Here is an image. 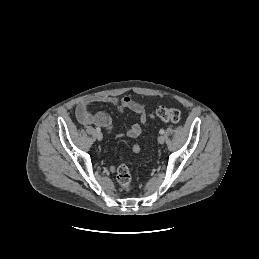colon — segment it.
Masks as SVG:
<instances>
[{"instance_id":"1","label":"colon","mask_w":259,"mask_h":259,"mask_svg":"<svg viewBox=\"0 0 259 259\" xmlns=\"http://www.w3.org/2000/svg\"><path fill=\"white\" fill-rule=\"evenodd\" d=\"M153 118L159 119L165 123H178L181 118L180 111L176 108L160 107L152 115ZM116 178L119 185L125 190L132 187V174L126 164L120 165L116 170Z\"/></svg>"}]
</instances>
